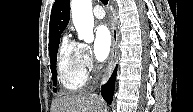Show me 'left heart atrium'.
Wrapping results in <instances>:
<instances>
[{"instance_id": "1", "label": "left heart atrium", "mask_w": 193, "mask_h": 112, "mask_svg": "<svg viewBox=\"0 0 193 112\" xmlns=\"http://www.w3.org/2000/svg\"><path fill=\"white\" fill-rule=\"evenodd\" d=\"M112 37L109 29L105 25H100L95 31L94 55L97 60L104 61L110 52Z\"/></svg>"}]
</instances>
